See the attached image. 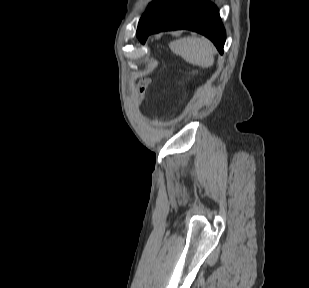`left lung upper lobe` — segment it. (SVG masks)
Returning a JSON list of instances; mask_svg holds the SVG:
<instances>
[{
	"label": "left lung upper lobe",
	"mask_w": 309,
	"mask_h": 288,
	"mask_svg": "<svg viewBox=\"0 0 309 288\" xmlns=\"http://www.w3.org/2000/svg\"><path fill=\"white\" fill-rule=\"evenodd\" d=\"M158 2V0H155L154 2L150 3L147 11L143 14V16L140 18L139 20V24H138V28L137 30L140 28L142 22L144 21V19L146 18V16L148 15V13L151 11V9L153 8V6Z\"/></svg>",
	"instance_id": "1"
}]
</instances>
